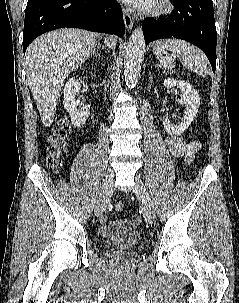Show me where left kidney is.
Returning <instances> with one entry per match:
<instances>
[{"label": "left kidney", "mask_w": 239, "mask_h": 303, "mask_svg": "<svg viewBox=\"0 0 239 303\" xmlns=\"http://www.w3.org/2000/svg\"><path fill=\"white\" fill-rule=\"evenodd\" d=\"M164 86L168 89L177 87L181 90L179 103L185 105L183 118L178 125L172 124L168 119H163L164 130L170 135H181L194 120L200 106V97L198 92L187 82L183 80H174L168 78L164 81Z\"/></svg>", "instance_id": "5707ae66"}]
</instances>
